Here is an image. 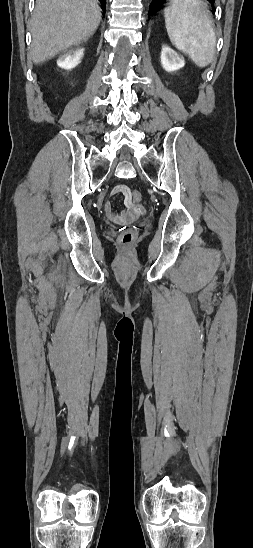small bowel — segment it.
<instances>
[{
	"label": "small bowel",
	"mask_w": 253,
	"mask_h": 548,
	"mask_svg": "<svg viewBox=\"0 0 253 548\" xmlns=\"http://www.w3.org/2000/svg\"><path fill=\"white\" fill-rule=\"evenodd\" d=\"M130 189L126 185H117L112 191L111 195H122L124 197V209L119 212H113L110 203H106L104 211L107 218L119 225H124L134 221L142 212L143 208L139 205H135L130 196Z\"/></svg>",
	"instance_id": "1"
}]
</instances>
